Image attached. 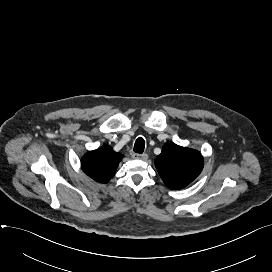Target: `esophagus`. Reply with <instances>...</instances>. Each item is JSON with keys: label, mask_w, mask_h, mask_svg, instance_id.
I'll use <instances>...</instances> for the list:
<instances>
[{"label": "esophagus", "mask_w": 272, "mask_h": 272, "mask_svg": "<svg viewBox=\"0 0 272 272\" xmlns=\"http://www.w3.org/2000/svg\"><path fill=\"white\" fill-rule=\"evenodd\" d=\"M133 157L135 159H140V160H143V161H146L148 159V155L146 153H144V154H134Z\"/></svg>", "instance_id": "obj_1"}]
</instances>
